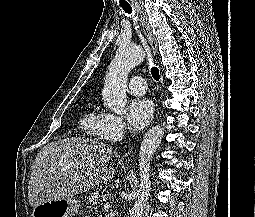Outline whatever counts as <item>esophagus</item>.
Returning <instances> with one entry per match:
<instances>
[{"mask_svg": "<svg viewBox=\"0 0 255 217\" xmlns=\"http://www.w3.org/2000/svg\"><path fill=\"white\" fill-rule=\"evenodd\" d=\"M133 6H134L136 12L140 14V21H141V27H142L143 33H144L147 41L149 42L154 55L157 56V54H158L157 41L153 35L152 29L147 21V18L141 11L140 6L137 2L133 3ZM131 151L132 150H129L128 152H126L124 154V157H128L131 154Z\"/></svg>", "mask_w": 255, "mask_h": 217, "instance_id": "obj_1", "label": "esophagus"}]
</instances>
